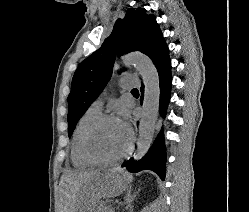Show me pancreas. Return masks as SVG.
<instances>
[{"mask_svg":"<svg viewBox=\"0 0 249 212\" xmlns=\"http://www.w3.org/2000/svg\"><path fill=\"white\" fill-rule=\"evenodd\" d=\"M114 208H106V206H102V204H99L96 208V212H113Z\"/></svg>","mask_w":249,"mask_h":212,"instance_id":"cf45deb5","label":"pancreas"}]
</instances>
